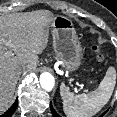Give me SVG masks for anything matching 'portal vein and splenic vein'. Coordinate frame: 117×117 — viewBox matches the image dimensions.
<instances>
[{
  "instance_id": "portal-vein-and-splenic-vein-1",
  "label": "portal vein and splenic vein",
  "mask_w": 117,
  "mask_h": 117,
  "mask_svg": "<svg viewBox=\"0 0 117 117\" xmlns=\"http://www.w3.org/2000/svg\"><path fill=\"white\" fill-rule=\"evenodd\" d=\"M8 55H11V51H10V52H8Z\"/></svg>"
}]
</instances>
